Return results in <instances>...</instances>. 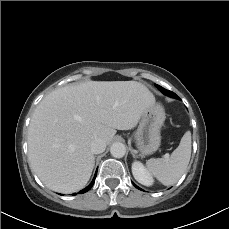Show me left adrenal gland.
Wrapping results in <instances>:
<instances>
[{"label":"left adrenal gland","instance_id":"obj_1","mask_svg":"<svg viewBox=\"0 0 229 229\" xmlns=\"http://www.w3.org/2000/svg\"><path fill=\"white\" fill-rule=\"evenodd\" d=\"M131 154H132V156H133L134 158L137 157L133 151H131Z\"/></svg>","mask_w":229,"mask_h":229}]
</instances>
